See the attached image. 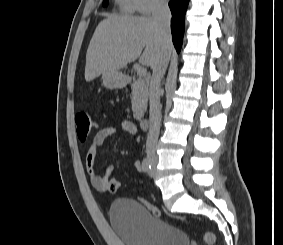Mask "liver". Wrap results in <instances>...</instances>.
<instances>
[{
	"label": "liver",
	"mask_w": 283,
	"mask_h": 245,
	"mask_svg": "<svg viewBox=\"0 0 283 245\" xmlns=\"http://www.w3.org/2000/svg\"><path fill=\"white\" fill-rule=\"evenodd\" d=\"M172 49L171 43L167 48L170 54ZM162 55L160 28L151 17L108 16L99 23L88 46L85 80L119 70L138 58L153 69Z\"/></svg>",
	"instance_id": "liver-1"
}]
</instances>
